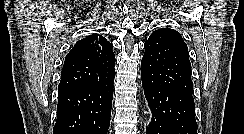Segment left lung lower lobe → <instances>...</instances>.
<instances>
[{
  "mask_svg": "<svg viewBox=\"0 0 244 134\" xmlns=\"http://www.w3.org/2000/svg\"><path fill=\"white\" fill-rule=\"evenodd\" d=\"M141 79L153 115L146 134H197L192 92L160 87L143 70Z\"/></svg>",
  "mask_w": 244,
  "mask_h": 134,
  "instance_id": "0a47b994",
  "label": "left lung lower lobe"
}]
</instances>
